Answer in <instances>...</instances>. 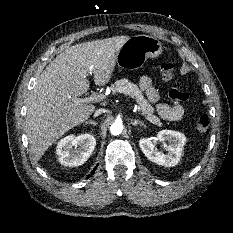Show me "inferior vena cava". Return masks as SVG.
Wrapping results in <instances>:
<instances>
[{"instance_id": "602c4592", "label": "inferior vena cava", "mask_w": 233, "mask_h": 233, "mask_svg": "<svg viewBox=\"0 0 233 233\" xmlns=\"http://www.w3.org/2000/svg\"><path fill=\"white\" fill-rule=\"evenodd\" d=\"M104 112H106V110H105V109H103V108L98 109V110H96V112H95L94 116H98V115H100L101 113H104Z\"/></svg>"}]
</instances>
